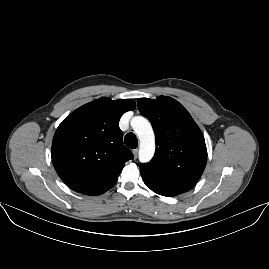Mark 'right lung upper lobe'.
Wrapping results in <instances>:
<instances>
[{
	"label": "right lung upper lobe",
	"mask_w": 269,
	"mask_h": 269,
	"mask_svg": "<svg viewBox=\"0 0 269 269\" xmlns=\"http://www.w3.org/2000/svg\"><path fill=\"white\" fill-rule=\"evenodd\" d=\"M136 104L131 99L101 98L66 117L52 142V162L59 177L79 193L112 187L124 163L133 159L123 144L119 119Z\"/></svg>",
	"instance_id": "right-lung-upper-lobe-1"
}]
</instances>
